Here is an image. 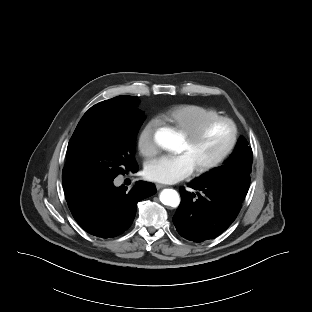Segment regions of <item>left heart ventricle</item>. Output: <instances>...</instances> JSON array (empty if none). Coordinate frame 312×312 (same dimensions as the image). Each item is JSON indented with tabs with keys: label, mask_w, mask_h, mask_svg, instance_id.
<instances>
[{
	"label": "left heart ventricle",
	"mask_w": 312,
	"mask_h": 312,
	"mask_svg": "<svg viewBox=\"0 0 312 312\" xmlns=\"http://www.w3.org/2000/svg\"><path fill=\"white\" fill-rule=\"evenodd\" d=\"M231 136L232 130L229 124L217 123L193 145L184 138L178 153L187 154L196 168L218 157L228 146Z\"/></svg>",
	"instance_id": "1"
}]
</instances>
